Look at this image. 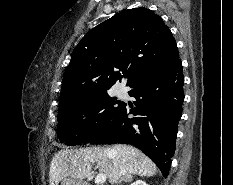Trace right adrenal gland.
<instances>
[{"mask_svg": "<svg viewBox=\"0 0 233 185\" xmlns=\"http://www.w3.org/2000/svg\"><path fill=\"white\" fill-rule=\"evenodd\" d=\"M132 175H130V174H126V175H124V176H122L121 178H120V180L117 182V184H120L121 182H128V181H131L132 180Z\"/></svg>", "mask_w": 233, "mask_h": 185, "instance_id": "1", "label": "right adrenal gland"}]
</instances>
